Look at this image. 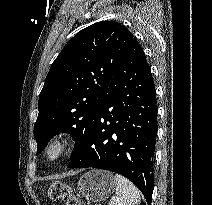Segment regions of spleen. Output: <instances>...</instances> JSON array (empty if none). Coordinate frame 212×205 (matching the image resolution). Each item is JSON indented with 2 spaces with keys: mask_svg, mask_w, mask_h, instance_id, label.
<instances>
[{
  "mask_svg": "<svg viewBox=\"0 0 212 205\" xmlns=\"http://www.w3.org/2000/svg\"><path fill=\"white\" fill-rule=\"evenodd\" d=\"M116 196L112 197L109 205H138L140 192L136 186L120 174L114 176Z\"/></svg>",
  "mask_w": 212,
  "mask_h": 205,
  "instance_id": "1",
  "label": "spleen"
}]
</instances>
